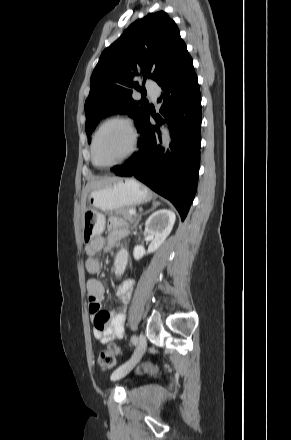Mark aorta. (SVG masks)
<instances>
[{
	"instance_id": "762f6f07",
	"label": "aorta",
	"mask_w": 291,
	"mask_h": 440,
	"mask_svg": "<svg viewBox=\"0 0 291 440\" xmlns=\"http://www.w3.org/2000/svg\"><path fill=\"white\" fill-rule=\"evenodd\" d=\"M162 131V143L165 147H167L171 141L169 131L167 127H163ZM117 267L119 269H124L127 264V251L125 249H121L117 255Z\"/></svg>"
}]
</instances>
